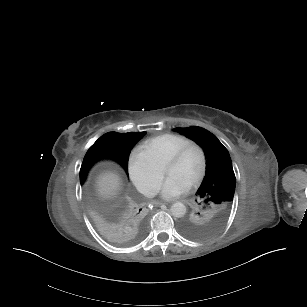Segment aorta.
I'll return each instance as SVG.
<instances>
[{
	"mask_svg": "<svg viewBox=\"0 0 307 307\" xmlns=\"http://www.w3.org/2000/svg\"><path fill=\"white\" fill-rule=\"evenodd\" d=\"M170 212L174 217L181 218L186 213V207L181 202H176L171 205Z\"/></svg>",
	"mask_w": 307,
	"mask_h": 307,
	"instance_id": "aorta-1",
	"label": "aorta"
}]
</instances>
